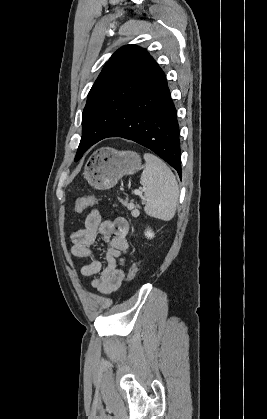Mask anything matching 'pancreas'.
<instances>
[{
	"instance_id": "1",
	"label": "pancreas",
	"mask_w": 267,
	"mask_h": 419,
	"mask_svg": "<svg viewBox=\"0 0 267 419\" xmlns=\"http://www.w3.org/2000/svg\"><path fill=\"white\" fill-rule=\"evenodd\" d=\"M121 203H122L124 206H128V199L126 198L125 200H121ZM137 207H138V208H140V206H139V205H137Z\"/></svg>"
}]
</instances>
